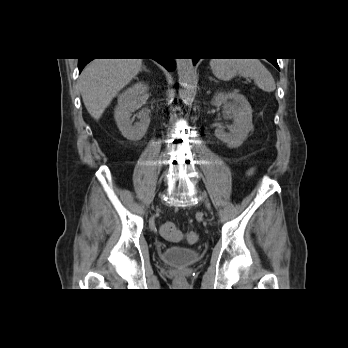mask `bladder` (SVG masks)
Wrapping results in <instances>:
<instances>
[{
  "label": "bladder",
  "mask_w": 348,
  "mask_h": 348,
  "mask_svg": "<svg viewBox=\"0 0 348 348\" xmlns=\"http://www.w3.org/2000/svg\"><path fill=\"white\" fill-rule=\"evenodd\" d=\"M200 256L197 249L171 246L163 251L161 260L166 264L184 266L197 262Z\"/></svg>",
  "instance_id": "31cf9c89"
}]
</instances>
